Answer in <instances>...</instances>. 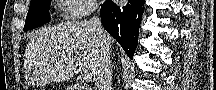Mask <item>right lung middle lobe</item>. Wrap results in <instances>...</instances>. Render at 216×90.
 Masks as SVG:
<instances>
[{
  "label": "right lung middle lobe",
  "mask_w": 216,
  "mask_h": 90,
  "mask_svg": "<svg viewBox=\"0 0 216 90\" xmlns=\"http://www.w3.org/2000/svg\"><path fill=\"white\" fill-rule=\"evenodd\" d=\"M50 3L51 0H31L24 31L35 29L50 21Z\"/></svg>",
  "instance_id": "obj_1"
}]
</instances>
